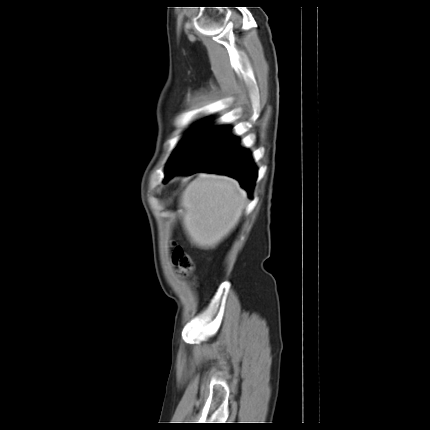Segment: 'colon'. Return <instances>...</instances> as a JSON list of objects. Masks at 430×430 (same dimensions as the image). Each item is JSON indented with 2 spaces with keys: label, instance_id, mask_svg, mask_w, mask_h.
I'll use <instances>...</instances> for the list:
<instances>
[{
  "label": "colon",
  "instance_id": "obj_1",
  "mask_svg": "<svg viewBox=\"0 0 430 430\" xmlns=\"http://www.w3.org/2000/svg\"><path fill=\"white\" fill-rule=\"evenodd\" d=\"M174 265L178 273L183 276H189L194 270V263L190 255L181 247H175L172 255Z\"/></svg>",
  "mask_w": 430,
  "mask_h": 430
}]
</instances>
